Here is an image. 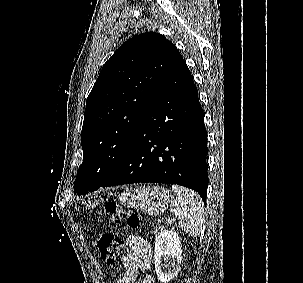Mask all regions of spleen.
Here are the masks:
<instances>
[{
  "label": "spleen",
  "instance_id": "1",
  "mask_svg": "<svg viewBox=\"0 0 303 283\" xmlns=\"http://www.w3.org/2000/svg\"><path fill=\"white\" fill-rule=\"evenodd\" d=\"M174 196L170 211L178 217L179 228L191 237H197L204 222V205L200 196L192 190L173 185Z\"/></svg>",
  "mask_w": 303,
  "mask_h": 283
}]
</instances>
